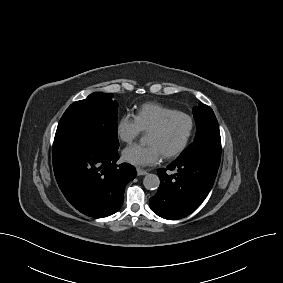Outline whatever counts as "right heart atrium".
Segmentation results:
<instances>
[{
    "label": "right heart atrium",
    "mask_w": 283,
    "mask_h": 283,
    "mask_svg": "<svg viewBox=\"0 0 283 283\" xmlns=\"http://www.w3.org/2000/svg\"><path fill=\"white\" fill-rule=\"evenodd\" d=\"M116 132L122 142L130 144L135 141L143 131L135 115L126 113L118 119Z\"/></svg>",
    "instance_id": "1"
}]
</instances>
